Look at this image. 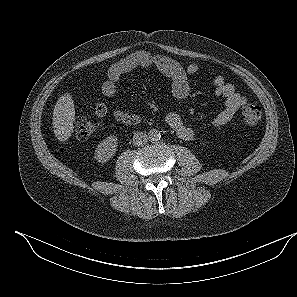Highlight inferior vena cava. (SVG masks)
Listing matches in <instances>:
<instances>
[{
    "instance_id": "1",
    "label": "inferior vena cava",
    "mask_w": 297,
    "mask_h": 297,
    "mask_svg": "<svg viewBox=\"0 0 297 297\" xmlns=\"http://www.w3.org/2000/svg\"><path fill=\"white\" fill-rule=\"evenodd\" d=\"M147 141H148V136L146 133H143V132L134 133V136H133L134 146H137V147L143 146Z\"/></svg>"
}]
</instances>
